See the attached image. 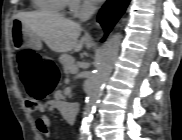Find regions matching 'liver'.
Listing matches in <instances>:
<instances>
[{
	"label": "liver",
	"mask_w": 182,
	"mask_h": 140,
	"mask_svg": "<svg viewBox=\"0 0 182 140\" xmlns=\"http://www.w3.org/2000/svg\"><path fill=\"white\" fill-rule=\"evenodd\" d=\"M25 28L42 39L54 52H79L84 45L92 46V38L86 34L78 40L81 25L60 14L24 12L17 15Z\"/></svg>",
	"instance_id": "6515ba94"
}]
</instances>
